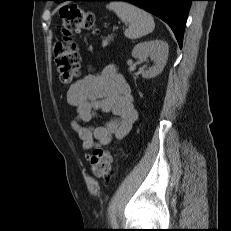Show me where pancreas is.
I'll return each instance as SVG.
<instances>
[{
    "instance_id": "1",
    "label": "pancreas",
    "mask_w": 231,
    "mask_h": 231,
    "mask_svg": "<svg viewBox=\"0 0 231 231\" xmlns=\"http://www.w3.org/2000/svg\"><path fill=\"white\" fill-rule=\"evenodd\" d=\"M111 39H113L112 36H108L107 38H105L104 41H103V44H102L103 47L107 46V45L109 44V41H110Z\"/></svg>"
}]
</instances>
